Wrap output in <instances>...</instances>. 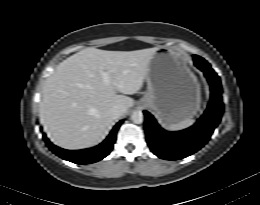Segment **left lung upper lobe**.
<instances>
[{"label":"left lung upper lobe","mask_w":260,"mask_h":205,"mask_svg":"<svg viewBox=\"0 0 260 205\" xmlns=\"http://www.w3.org/2000/svg\"><path fill=\"white\" fill-rule=\"evenodd\" d=\"M193 57H194V59L196 60L197 63L199 62L203 65H209L210 66V64L207 61H205L203 58H201L197 55H194Z\"/></svg>","instance_id":"1"}]
</instances>
